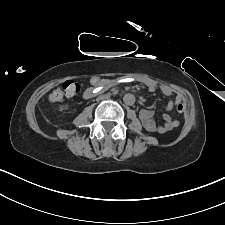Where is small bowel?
Returning <instances> with one entry per match:
<instances>
[{
    "label": "small bowel",
    "mask_w": 225,
    "mask_h": 225,
    "mask_svg": "<svg viewBox=\"0 0 225 225\" xmlns=\"http://www.w3.org/2000/svg\"><path fill=\"white\" fill-rule=\"evenodd\" d=\"M91 83V81H90ZM110 83L106 82L103 87L109 86ZM148 90L154 92L158 89L162 91V93L169 98L167 103L165 113L163 114V123L161 125H157L155 122L154 112L147 109H141L139 112V117L145 127L146 130L150 132H159V133H166L174 129L178 126L179 122L176 119H173L170 115V111L180 104L181 98L180 96L176 95L171 88L164 85H158L156 83H149L147 85ZM100 88L99 85H93L91 83V87L88 88L84 94L85 98H89L94 94V90Z\"/></svg>",
    "instance_id": "c3829d8e"
}]
</instances>
